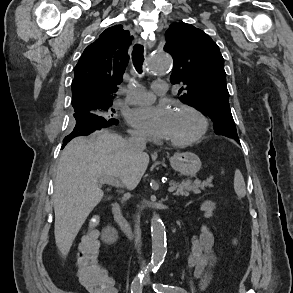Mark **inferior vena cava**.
<instances>
[{
    "label": "inferior vena cava",
    "instance_id": "1",
    "mask_svg": "<svg viewBox=\"0 0 293 293\" xmlns=\"http://www.w3.org/2000/svg\"><path fill=\"white\" fill-rule=\"evenodd\" d=\"M127 144L131 151L140 154L146 148V136L144 134L134 132L131 134V137L128 139ZM137 184L138 183L135 181H130V182H127L125 185L128 189L132 190L137 186ZM135 246L137 247V250L139 252L140 246H141V235H140L137 221L135 225ZM144 266H145V262L142 261V268H144Z\"/></svg>",
    "mask_w": 293,
    "mask_h": 293
}]
</instances>
